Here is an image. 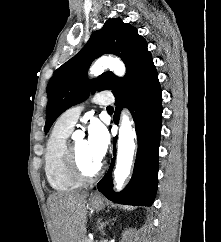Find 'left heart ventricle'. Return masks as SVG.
<instances>
[{
	"label": "left heart ventricle",
	"instance_id": "obj_1",
	"mask_svg": "<svg viewBox=\"0 0 221 242\" xmlns=\"http://www.w3.org/2000/svg\"><path fill=\"white\" fill-rule=\"evenodd\" d=\"M73 147L82 168L87 172L93 171L99 162L90 155L86 141L83 139L77 140L73 143Z\"/></svg>",
	"mask_w": 221,
	"mask_h": 242
}]
</instances>
